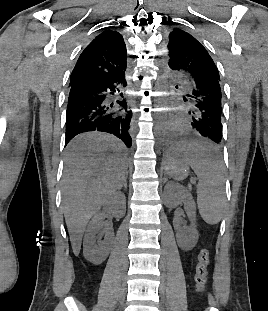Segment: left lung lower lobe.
<instances>
[{"instance_id": "left-lung-lower-lobe-1", "label": "left lung lower lobe", "mask_w": 268, "mask_h": 311, "mask_svg": "<svg viewBox=\"0 0 268 311\" xmlns=\"http://www.w3.org/2000/svg\"><path fill=\"white\" fill-rule=\"evenodd\" d=\"M169 68L183 73L191 86V91L187 94L190 103L188 117L178 127L181 132H174L175 141L207 140L212 144H217L218 148L223 137L220 81L209 71L201 68L186 69L173 65Z\"/></svg>"}]
</instances>
